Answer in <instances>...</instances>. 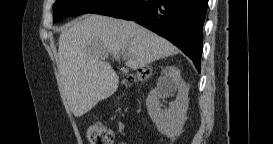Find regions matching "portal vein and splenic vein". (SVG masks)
Listing matches in <instances>:
<instances>
[{
    "label": "portal vein and splenic vein",
    "mask_w": 273,
    "mask_h": 144,
    "mask_svg": "<svg viewBox=\"0 0 273 144\" xmlns=\"http://www.w3.org/2000/svg\"><path fill=\"white\" fill-rule=\"evenodd\" d=\"M122 55H123L124 57H126V56H127V53H126L125 51H123V52H122Z\"/></svg>",
    "instance_id": "portal-vein-and-splenic-vein-1"
}]
</instances>
